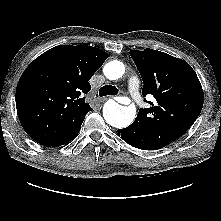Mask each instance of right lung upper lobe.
<instances>
[{
  "label": "right lung upper lobe",
  "mask_w": 221,
  "mask_h": 221,
  "mask_svg": "<svg viewBox=\"0 0 221 221\" xmlns=\"http://www.w3.org/2000/svg\"><path fill=\"white\" fill-rule=\"evenodd\" d=\"M109 54L87 45L56 46L36 58L16 89V108L27 134L47 147H58L80 131L92 108L84 94L90 78Z\"/></svg>",
  "instance_id": "right-lung-upper-lobe-1"
}]
</instances>
